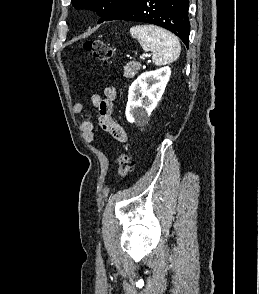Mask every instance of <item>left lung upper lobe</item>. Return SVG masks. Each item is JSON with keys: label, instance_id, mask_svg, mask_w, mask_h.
Returning a JSON list of instances; mask_svg holds the SVG:
<instances>
[{"label": "left lung upper lobe", "instance_id": "obj_1", "mask_svg": "<svg viewBox=\"0 0 259 294\" xmlns=\"http://www.w3.org/2000/svg\"><path fill=\"white\" fill-rule=\"evenodd\" d=\"M128 0H72L76 9H89L100 16L98 23L103 22L112 11Z\"/></svg>", "mask_w": 259, "mask_h": 294}]
</instances>
